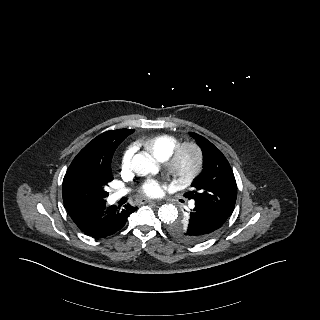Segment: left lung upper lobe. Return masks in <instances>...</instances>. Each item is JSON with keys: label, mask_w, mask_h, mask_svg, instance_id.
Masks as SVG:
<instances>
[{"label": "left lung upper lobe", "mask_w": 320, "mask_h": 320, "mask_svg": "<svg viewBox=\"0 0 320 320\" xmlns=\"http://www.w3.org/2000/svg\"><path fill=\"white\" fill-rule=\"evenodd\" d=\"M203 152V170L191 184L193 190L185 193L188 199L217 214L229 218L233 212L237 185L231 166L222 152L199 134L191 133ZM188 218L178 219L169 225V232L186 243L199 242L190 234Z\"/></svg>", "instance_id": "obj_1"}]
</instances>
